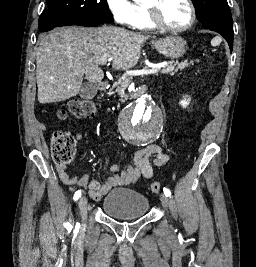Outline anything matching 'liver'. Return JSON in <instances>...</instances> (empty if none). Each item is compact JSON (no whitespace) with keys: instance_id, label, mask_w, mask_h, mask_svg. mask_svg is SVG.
<instances>
[{"instance_id":"obj_1","label":"liver","mask_w":256,"mask_h":267,"mask_svg":"<svg viewBox=\"0 0 256 267\" xmlns=\"http://www.w3.org/2000/svg\"><path fill=\"white\" fill-rule=\"evenodd\" d=\"M149 38L115 26L55 28L42 38L36 52L38 102H63L77 96L84 74L90 84H100L101 60H112L113 70L134 68Z\"/></svg>"}]
</instances>
